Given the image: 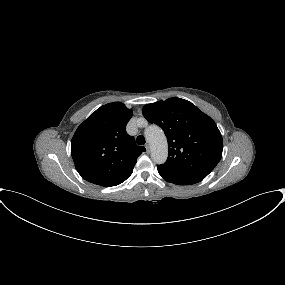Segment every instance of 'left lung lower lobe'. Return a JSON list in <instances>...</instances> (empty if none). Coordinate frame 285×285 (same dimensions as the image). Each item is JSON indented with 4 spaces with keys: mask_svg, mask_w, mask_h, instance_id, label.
<instances>
[{
    "mask_svg": "<svg viewBox=\"0 0 285 285\" xmlns=\"http://www.w3.org/2000/svg\"><path fill=\"white\" fill-rule=\"evenodd\" d=\"M158 172L164 180H166L167 182L173 183V184H177V185H191V184H195L203 180L202 178L193 177V176L168 174V173L161 172L159 170Z\"/></svg>",
    "mask_w": 285,
    "mask_h": 285,
    "instance_id": "obj_1",
    "label": "left lung lower lobe"
}]
</instances>
